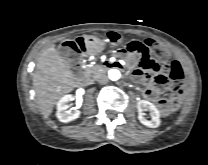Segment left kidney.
<instances>
[{
    "label": "left kidney",
    "mask_w": 208,
    "mask_h": 165,
    "mask_svg": "<svg viewBox=\"0 0 208 165\" xmlns=\"http://www.w3.org/2000/svg\"><path fill=\"white\" fill-rule=\"evenodd\" d=\"M137 109H138V119L139 121L149 127V128H157L161 121H160V112L159 110L149 101L146 100H140L137 103ZM144 111H149L151 119L148 120L145 118Z\"/></svg>",
    "instance_id": "1"
}]
</instances>
